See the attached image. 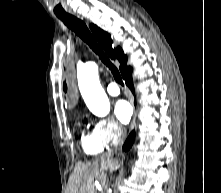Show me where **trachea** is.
I'll list each match as a JSON object with an SVG mask.
<instances>
[{
  "label": "trachea",
  "mask_w": 221,
  "mask_h": 193,
  "mask_svg": "<svg viewBox=\"0 0 221 193\" xmlns=\"http://www.w3.org/2000/svg\"><path fill=\"white\" fill-rule=\"evenodd\" d=\"M57 17L89 45V47L99 56L101 61L111 70L115 81L123 86V81L118 69L112 64L108 56L98 45L86 24L71 14L57 15Z\"/></svg>",
  "instance_id": "trachea-1"
}]
</instances>
